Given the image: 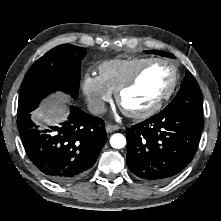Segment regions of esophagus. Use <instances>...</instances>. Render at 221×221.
Returning a JSON list of instances; mask_svg holds the SVG:
<instances>
[{"label": "esophagus", "mask_w": 221, "mask_h": 221, "mask_svg": "<svg viewBox=\"0 0 221 221\" xmlns=\"http://www.w3.org/2000/svg\"><path fill=\"white\" fill-rule=\"evenodd\" d=\"M120 127L118 125H112V124H107L106 125V132L111 133L113 131L118 130Z\"/></svg>", "instance_id": "esophagus-1"}]
</instances>
